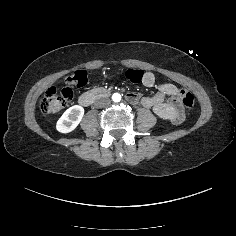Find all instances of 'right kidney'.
<instances>
[{
	"mask_svg": "<svg viewBox=\"0 0 236 236\" xmlns=\"http://www.w3.org/2000/svg\"><path fill=\"white\" fill-rule=\"evenodd\" d=\"M85 110L80 105L69 107L56 122V130L67 134L74 131L83 119Z\"/></svg>",
	"mask_w": 236,
	"mask_h": 236,
	"instance_id": "1",
	"label": "right kidney"
}]
</instances>
